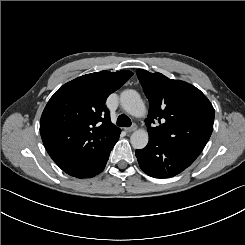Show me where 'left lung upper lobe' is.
Returning a JSON list of instances; mask_svg holds the SVG:
<instances>
[{
    "label": "left lung upper lobe",
    "instance_id": "5c2ea615",
    "mask_svg": "<svg viewBox=\"0 0 245 245\" xmlns=\"http://www.w3.org/2000/svg\"><path fill=\"white\" fill-rule=\"evenodd\" d=\"M150 108L145 123L149 138L178 147L198 157L213 131L215 111L207 97L193 85L161 73L137 69ZM159 122V126L151 124Z\"/></svg>",
    "mask_w": 245,
    "mask_h": 245
}]
</instances>
